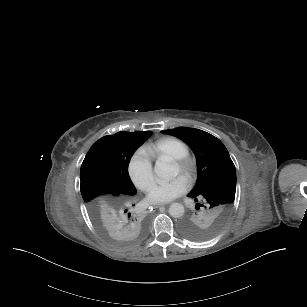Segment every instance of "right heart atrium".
I'll return each instance as SVG.
<instances>
[{
  "label": "right heart atrium",
  "mask_w": 307,
  "mask_h": 307,
  "mask_svg": "<svg viewBox=\"0 0 307 307\" xmlns=\"http://www.w3.org/2000/svg\"><path fill=\"white\" fill-rule=\"evenodd\" d=\"M152 159V156L147 154L142 147L136 149L130 155L127 169L135 185L143 187L152 179Z\"/></svg>",
  "instance_id": "1"
}]
</instances>
